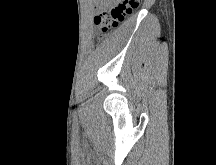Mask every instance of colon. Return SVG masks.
I'll list each match as a JSON object with an SVG mask.
<instances>
[{"label": "colon", "instance_id": "obj_1", "mask_svg": "<svg viewBox=\"0 0 216 165\" xmlns=\"http://www.w3.org/2000/svg\"><path fill=\"white\" fill-rule=\"evenodd\" d=\"M107 8L97 14L93 23L101 34L117 28L136 10L140 0H108Z\"/></svg>", "mask_w": 216, "mask_h": 165}]
</instances>
